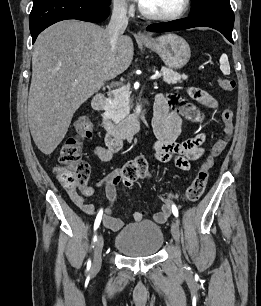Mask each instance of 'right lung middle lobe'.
Instances as JSON below:
<instances>
[{"label": "right lung middle lobe", "mask_w": 261, "mask_h": 306, "mask_svg": "<svg viewBox=\"0 0 261 306\" xmlns=\"http://www.w3.org/2000/svg\"><path fill=\"white\" fill-rule=\"evenodd\" d=\"M95 1L105 4V5H110L111 3V0H95Z\"/></svg>", "instance_id": "obj_1"}]
</instances>
